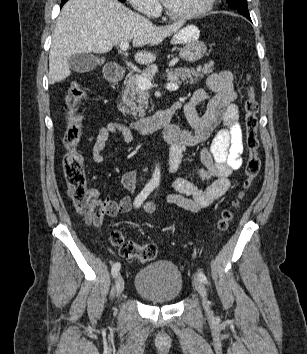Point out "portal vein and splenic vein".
<instances>
[{
	"instance_id": "1",
	"label": "portal vein and splenic vein",
	"mask_w": 307,
	"mask_h": 354,
	"mask_svg": "<svg viewBox=\"0 0 307 354\" xmlns=\"http://www.w3.org/2000/svg\"><path fill=\"white\" fill-rule=\"evenodd\" d=\"M128 48H129L128 42H122L120 44L121 51H123V52L127 51ZM136 84L142 90H148L153 87L150 79L145 78V77H141V76H138L136 78ZM166 88L171 91H176L179 88V86H178V84H176L174 82H170V83L166 84Z\"/></svg>"
}]
</instances>
